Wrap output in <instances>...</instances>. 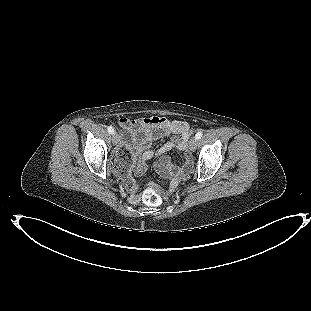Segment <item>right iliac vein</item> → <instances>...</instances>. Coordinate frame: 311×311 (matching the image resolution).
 Here are the masks:
<instances>
[{
    "mask_svg": "<svg viewBox=\"0 0 311 311\" xmlns=\"http://www.w3.org/2000/svg\"><path fill=\"white\" fill-rule=\"evenodd\" d=\"M119 141H120V136H119V134H118L117 132H114V133L112 134V142H113V144H114V145H117V144L119 143Z\"/></svg>",
    "mask_w": 311,
    "mask_h": 311,
    "instance_id": "obj_1",
    "label": "right iliac vein"
}]
</instances>
